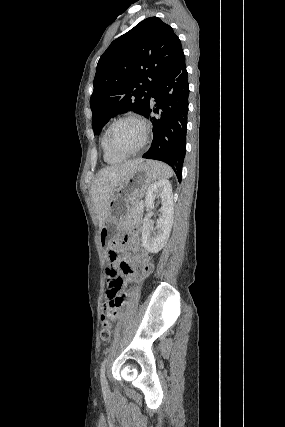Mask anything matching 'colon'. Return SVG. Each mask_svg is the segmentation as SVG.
<instances>
[{
  "label": "colon",
  "instance_id": "1",
  "mask_svg": "<svg viewBox=\"0 0 285 427\" xmlns=\"http://www.w3.org/2000/svg\"><path fill=\"white\" fill-rule=\"evenodd\" d=\"M124 244V240H118L115 242V247L117 249L111 250L108 253V261L110 263H115L120 261L121 254L118 248L122 247ZM150 269L149 265H146L143 268V272H147ZM121 270L125 273H129L130 267L127 263L121 262ZM108 276V293L107 297L104 299L102 303V330H101V338L104 341H107L111 337L112 333V322L115 320L118 308L120 307L123 299L121 297H114L111 290H120L123 287L124 280L119 275L117 270L114 267H109L107 269Z\"/></svg>",
  "mask_w": 285,
  "mask_h": 427
}]
</instances>
